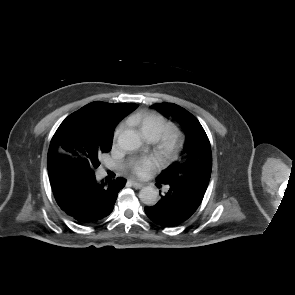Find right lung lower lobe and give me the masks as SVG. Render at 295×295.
Returning a JSON list of instances; mask_svg holds the SVG:
<instances>
[{"label":"right lung lower lobe","instance_id":"right-lung-lower-lobe-1","mask_svg":"<svg viewBox=\"0 0 295 295\" xmlns=\"http://www.w3.org/2000/svg\"><path fill=\"white\" fill-rule=\"evenodd\" d=\"M49 179L58 205L78 224L91 225L108 216L124 178L98 182L95 172H84L80 166L58 161L48 168Z\"/></svg>","mask_w":295,"mask_h":295}]
</instances>
